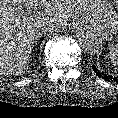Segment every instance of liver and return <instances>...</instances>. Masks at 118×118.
<instances>
[{
  "mask_svg": "<svg viewBox=\"0 0 118 118\" xmlns=\"http://www.w3.org/2000/svg\"><path fill=\"white\" fill-rule=\"evenodd\" d=\"M101 0H0V75L17 76L29 68L39 22L52 19L61 26L77 15L90 17ZM23 7L30 10L25 13ZM34 8L36 11H31ZM44 9V12L38 11Z\"/></svg>",
  "mask_w": 118,
  "mask_h": 118,
  "instance_id": "1",
  "label": "liver"
}]
</instances>
